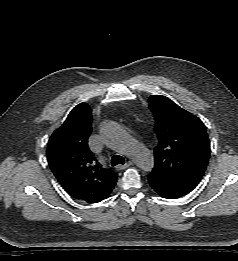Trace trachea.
<instances>
[{
	"label": "trachea",
	"mask_w": 238,
	"mask_h": 261,
	"mask_svg": "<svg viewBox=\"0 0 238 261\" xmlns=\"http://www.w3.org/2000/svg\"><path fill=\"white\" fill-rule=\"evenodd\" d=\"M125 160L122 156L120 155H114L111 159V165L116 166L118 164H124Z\"/></svg>",
	"instance_id": "3493384b"
}]
</instances>
